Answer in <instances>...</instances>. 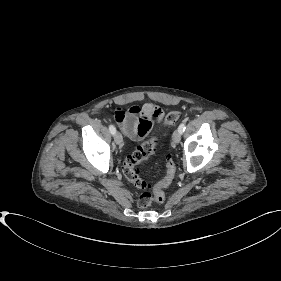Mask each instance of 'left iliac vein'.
Listing matches in <instances>:
<instances>
[{"mask_svg":"<svg viewBox=\"0 0 281 281\" xmlns=\"http://www.w3.org/2000/svg\"><path fill=\"white\" fill-rule=\"evenodd\" d=\"M172 138H173V142L178 144L181 140V132L179 130H175Z\"/></svg>","mask_w":281,"mask_h":281,"instance_id":"4c4485c4","label":"left iliac vein"}]
</instances>
